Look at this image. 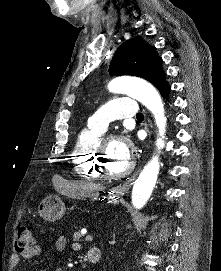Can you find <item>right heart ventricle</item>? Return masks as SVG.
I'll list each match as a JSON object with an SVG mask.
<instances>
[{"label":"right heart ventricle","instance_id":"1","mask_svg":"<svg viewBox=\"0 0 221 271\" xmlns=\"http://www.w3.org/2000/svg\"><path fill=\"white\" fill-rule=\"evenodd\" d=\"M78 142H75V147L77 151H83L86 154H74V158L71 159L75 161V164H80V166H74V171L78 176V179H101V174H96L98 172V165L95 164L92 158H97V153L99 149L98 144H103L99 137L88 138H78Z\"/></svg>","mask_w":221,"mask_h":271}]
</instances>
